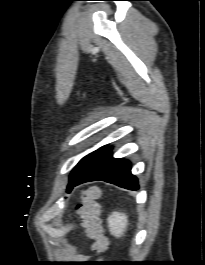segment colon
<instances>
[{"instance_id": "1", "label": "colon", "mask_w": 205, "mask_h": 265, "mask_svg": "<svg viewBox=\"0 0 205 265\" xmlns=\"http://www.w3.org/2000/svg\"><path fill=\"white\" fill-rule=\"evenodd\" d=\"M97 198L98 191L95 188L85 190L78 206V214L82 219V225L87 236L93 240V250L97 253H102L106 251L108 241L101 232Z\"/></svg>"}]
</instances>
